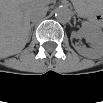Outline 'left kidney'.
<instances>
[{
  "mask_svg": "<svg viewBox=\"0 0 103 103\" xmlns=\"http://www.w3.org/2000/svg\"><path fill=\"white\" fill-rule=\"evenodd\" d=\"M78 36H84L87 41L91 44L92 48H85L81 46H74L76 51L81 55L88 57V58H99L102 56V36L92 33V32H72L71 39Z\"/></svg>",
  "mask_w": 103,
  "mask_h": 103,
  "instance_id": "1",
  "label": "left kidney"
}]
</instances>
